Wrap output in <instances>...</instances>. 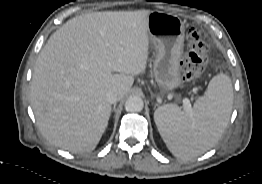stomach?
Masks as SVG:
<instances>
[{
	"label": "stomach",
	"instance_id": "0dacf381",
	"mask_svg": "<svg viewBox=\"0 0 262 184\" xmlns=\"http://www.w3.org/2000/svg\"><path fill=\"white\" fill-rule=\"evenodd\" d=\"M149 39L156 50L154 77L161 93L182 85L180 61L183 54L185 26L176 15L152 11L147 18Z\"/></svg>",
	"mask_w": 262,
	"mask_h": 184
}]
</instances>
